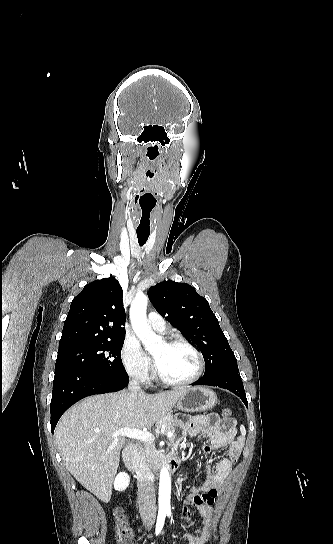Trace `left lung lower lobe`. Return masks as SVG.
Wrapping results in <instances>:
<instances>
[{"label": "left lung lower lobe", "mask_w": 333, "mask_h": 544, "mask_svg": "<svg viewBox=\"0 0 333 544\" xmlns=\"http://www.w3.org/2000/svg\"><path fill=\"white\" fill-rule=\"evenodd\" d=\"M192 385H210L227 389L236 394L248 407L244 386L238 371L225 370L215 372L209 376H203Z\"/></svg>", "instance_id": "obj_1"}]
</instances>
